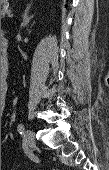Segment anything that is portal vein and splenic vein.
<instances>
[{
	"instance_id": "1",
	"label": "portal vein and splenic vein",
	"mask_w": 109,
	"mask_h": 170,
	"mask_svg": "<svg viewBox=\"0 0 109 170\" xmlns=\"http://www.w3.org/2000/svg\"><path fill=\"white\" fill-rule=\"evenodd\" d=\"M8 17H13V14H12V13H10V14L8 15Z\"/></svg>"
}]
</instances>
